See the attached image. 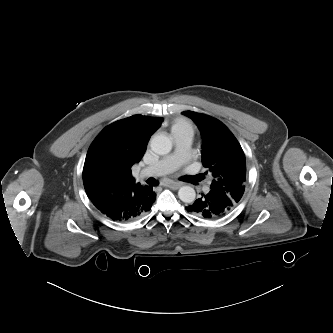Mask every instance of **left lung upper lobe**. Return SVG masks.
I'll list each match as a JSON object with an SVG mask.
<instances>
[{"mask_svg":"<svg viewBox=\"0 0 333 333\" xmlns=\"http://www.w3.org/2000/svg\"><path fill=\"white\" fill-rule=\"evenodd\" d=\"M182 114L190 117L201 131L202 163L213 176L210 189L226 194L237 206L246 180V160L239 142L213 117L193 111Z\"/></svg>","mask_w":333,"mask_h":333,"instance_id":"obj_1","label":"left lung upper lobe"}]
</instances>
